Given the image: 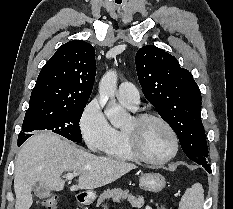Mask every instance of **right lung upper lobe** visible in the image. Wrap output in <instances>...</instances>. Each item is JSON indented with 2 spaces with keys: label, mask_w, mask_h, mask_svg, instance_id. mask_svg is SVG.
I'll list each match as a JSON object with an SVG mask.
<instances>
[{
  "label": "right lung upper lobe",
  "mask_w": 233,
  "mask_h": 209,
  "mask_svg": "<svg viewBox=\"0 0 233 209\" xmlns=\"http://www.w3.org/2000/svg\"><path fill=\"white\" fill-rule=\"evenodd\" d=\"M95 74V49L82 40L70 41L60 46L41 69L29 107L87 103Z\"/></svg>",
  "instance_id": "1"
}]
</instances>
